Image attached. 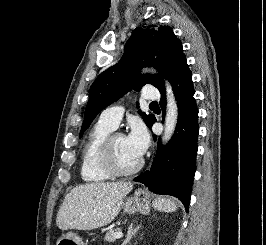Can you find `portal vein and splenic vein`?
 Returning <instances> with one entry per match:
<instances>
[{
    "mask_svg": "<svg viewBox=\"0 0 266 245\" xmlns=\"http://www.w3.org/2000/svg\"><path fill=\"white\" fill-rule=\"evenodd\" d=\"M123 237V233H116V239H121Z\"/></svg>",
    "mask_w": 266,
    "mask_h": 245,
    "instance_id": "obj_1",
    "label": "portal vein and splenic vein"
}]
</instances>
